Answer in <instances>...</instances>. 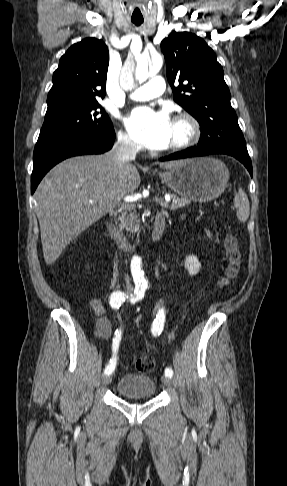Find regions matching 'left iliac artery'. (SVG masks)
<instances>
[{"label":"left iliac artery","mask_w":287,"mask_h":486,"mask_svg":"<svg viewBox=\"0 0 287 486\" xmlns=\"http://www.w3.org/2000/svg\"><path fill=\"white\" fill-rule=\"evenodd\" d=\"M136 300H138V296H136V298L131 299V302H135ZM164 322H165L164 309L159 308L158 313L156 315V318H155V320L152 324V328H151L153 335H159L161 333V331L163 330V327H164ZM165 375L171 378L173 376V370L171 368L167 367L165 369Z\"/></svg>","instance_id":"obj_1"}]
</instances>
